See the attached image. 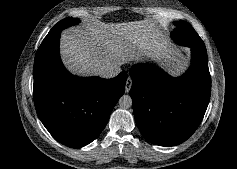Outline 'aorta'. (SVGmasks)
<instances>
[{
  "mask_svg": "<svg viewBox=\"0 0 237 169\" xmlns=\"http://www.w3.org/2000/svg\"><path fill=\"white\" fill-rule=\"evenodd\" d=\"M118 103H119L120 107L127 109L132 106V99L129 95H123L119 99Z\"/></svg>",
  "mask_w": 237,
  "mask_h": 169,
  "instance_id": "762f6f07",
  "label": "aorta"
}]
</instances>
